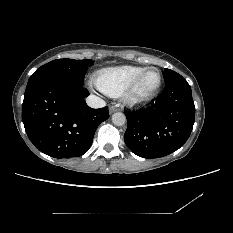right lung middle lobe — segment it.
I'll list each match as a JSON object with an SVG mask.
<instances>
[{
	"instance_id": "dd1d6c3e",
	"label": "right lung middle lobe",
	"mask_w": 233,
	"mask_h": 233,
	"mask_svg": "<svg viewBox=\"0 0 233 233\" xmlns=\"http://www.w3.org/2000/svg\"><path fill=\"white\" fill-rule=\"evenodd\" d=\"M93 63L94 61L91 59H57L51 61L38 68L29 78L27 85L48 78L65 79L67 81L83 85L88 66L92 65Z\"/></svg>"
}]
</instances>
